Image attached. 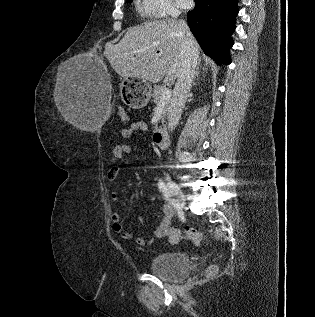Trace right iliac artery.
Instances as JSON below:
<instances>
[{"mask_svg": "<svg viewBox=\"0 0 315 317\" xmlns=\"http://www.w3.org/2000/svg\"><path fill=\"white\" fill-rule=\"evenodd\" d=\"M158 187H159L160 191L163 193L164 199L169 204L173 205L175 200L171 197V194L169 192L167 185L162 180H159Z\"/></svg>", "mask_w": 315, "mask_h": 317, "instance_id": "obj_1", "label": "right iliac artery"}]
</instances>
